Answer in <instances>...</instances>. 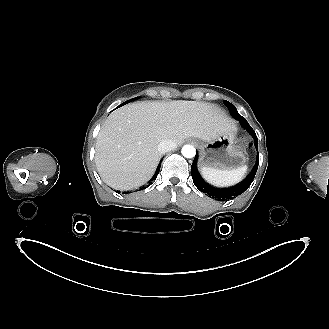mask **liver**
<instances>
[{
	"label": "liver",
	"instance_id": "1",
	"mask_svg": "<svg viewBox=\"0 0 329 329\" xmlns=\"http://www.w3.org/2000/svg\"><path fill=\"white\" fill-rule=\"evenodd\" d=\"M235 123L210 103L143 101L112 112L97 136L95 163L102 180L117 190H131L153 176L161 158L158 144H180L196 137L216 139Z\"/></svg>",
	"mask_w": 329,
	"mask_h": 329
}]
</instances>
